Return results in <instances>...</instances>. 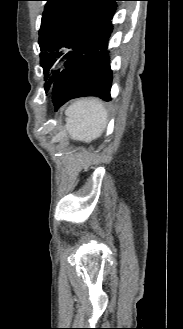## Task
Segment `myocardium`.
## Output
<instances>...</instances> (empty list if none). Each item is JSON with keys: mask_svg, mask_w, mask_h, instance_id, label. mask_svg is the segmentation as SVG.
I'll list each match as a JSON object with an SVG mask.
<instances>
[{"mask_svg": "<svg viewBox=\"0 0 183 329\" xmlns=\"http://www.w3.org/2000/svg\"><path fill=\"white\" fill-rule=\"evenodd\" d=\"M63 62H64V60L62 58L56 59L53 63V68L54 69L60 68L62 66Z\"/></svg>", "mask_w": 183, "mask_h": 329, "instance_id": "1", "label": "myocardium"}]
</instances>
